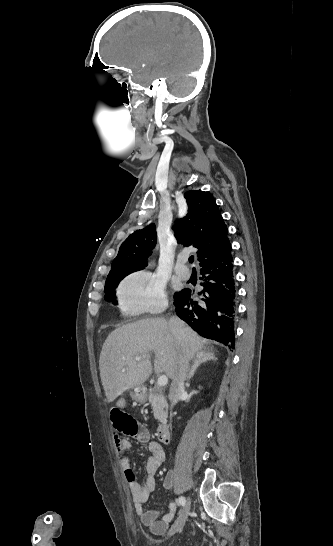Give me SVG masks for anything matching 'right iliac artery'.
Segmentation results:
<instances>
[{"instance_id": "1", "label": "right iliac artery", "mask_w": 333, "mask_h": 546, "mask_svg": "<svg viewBox=\"0 0 333 546\" xmlns=\"http://www.w3.org/2000/svg\"><path fill=\"white\" fill-rule=\"evenodd\" d=\"M178 501L181 506H184L186 504V500L183 496L179 497Z\"/></svg>"}]
</instances>
